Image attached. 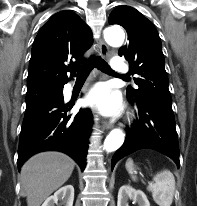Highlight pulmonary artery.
Listing matches in <instances>:
<instances>
[{
  "mask_svg": "<svg viewBox=\"0 0 197 206\" xmlns=\"http://www.w3.org/2000/svg\"><path fill=\"white\" fill-rule=\"evenodd\" d=\"M112 68L117 72H123L126 70V64L123 62L121 58L116 57L112 61Z\"/></svg>",
  "mask_w": 197,
  "mask_h": 206,
  "instance_id": "pulmonary-artery-1",
  "label": "pulmonary artery"
}]
</instances>
